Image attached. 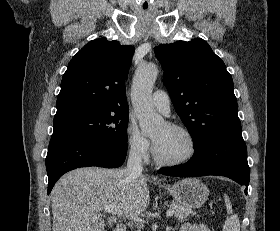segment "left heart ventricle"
Returning <instances> with one entry per match:
<instances>
[{
	"instance_id": "b2bd125f",
	"label": "left heart ventricle",
	"mask_w": 280,
	"mask_h": 231,
	"mask_svg": "<svg viewBox=\"0 0 280 231\" xmlns=\"http://www.w3.org/2000/svg\"><path fill=\"white\" fill-rule=\"evenodd\" d=\"M159 136L163 137V143L157 152L162 158L178 159L190 152L191 146L188 138L166 124L158 128L152 137L155 139Z\"/></svg>"
}]
</instances>
